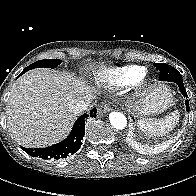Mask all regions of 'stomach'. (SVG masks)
<instances>
[{"instance_id": "stomach-1", "label": "stomach", "mask_w": 196, "mask_h": 196, "mask_svg": "<svg viewBox=\"0 0 196 196\" xmlns=\"http://www.w3.org/2000/svg\"><path fill=\"white\" fill-rule=\"evenodd\" d=\"M172 100L171 90L166 85L157 84L136 101L134 107L138 115L149 116L166 110Z\"/></svg>"}]
</instances>
